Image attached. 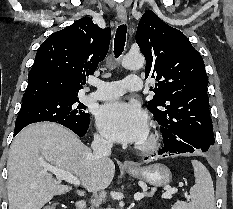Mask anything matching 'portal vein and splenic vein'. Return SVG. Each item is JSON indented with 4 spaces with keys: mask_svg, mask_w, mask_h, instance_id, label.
<instances>
[{
    "mask_svg": "<svg viewBox=\"0 0 233 209\" xmlns=\"http://www.w3.org/2000/svg\"><path fill=\"white\" fill-rule=\"evenodd\" d=\"M44 166L48 171L52 172L58 180H65L66 182L76 185V186L80 185V181L75 175L67 171L61 170L57 167L51 166L49 164H44ZM177 191H178L177 188H169L165 193L162 194V198L170 199L172 195L176 193ZM144 196L145 194L139 193L134 196V199L138 201V200H141Z\"/></svg>",
    "mask_w": 233,
    "mask_h": 209,
    "instance_id": "18ae733b",
    "label": "portal vein and splenic vein"
}]
</instances>
